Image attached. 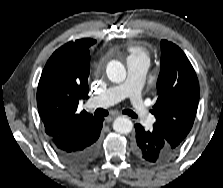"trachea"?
Masks as SVG:
<instances>
[{
  "instance_id": "obj_1",
  "label": "trachea",
  "mask_w": 223,
  "mask_h": 188,
  "mask_svg": "<svg viewBox=\"0 0 223 188\" xmlns=\"http://www.w3.org/2000/svg\"><path fill=\"white\" fill-rule=\"evenodd\" d=\"M123 113L128 115V116H130V117H132V118H137L136 114L132 110L126 109V110H123ZM108 114H109L108 111L105 110V109H97L94 112V115L96 117H105Z\"/></svg>"
}]
</instances>
